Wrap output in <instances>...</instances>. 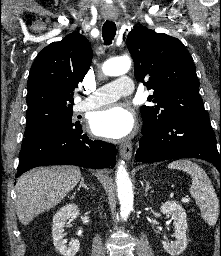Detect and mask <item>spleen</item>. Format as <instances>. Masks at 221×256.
<instances>
[{"mask_svg":"<svg viewBox=\"0 0 221 256\" xmlns=\"http://www.w3.org/2000/svg\"><path fill=\"white\" fill-rule=\"evenodd\" d=\"M168 168L182 170L191 176L189 192L199 206L204 221L215 225L219 216V199L206 172L190 160L173 161Z\"/></svg>","mask_w":221,"mask_h":256,"instance_id":"3e777b00","label":"spleen"}]
</instances>
